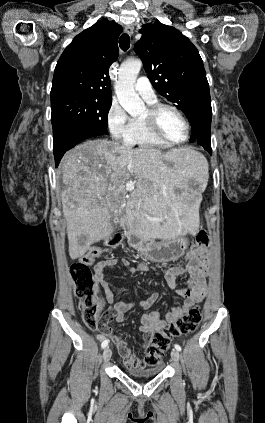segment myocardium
I'll list each match as a JSON object with an SVG mask.
<instances>
[{
	"label": "myocardium",
	"instance_id": "myocardium-1",
	"mask_svg": "<svg viewBox=\"0 0 265 423\" xmlns=\"http://www.w3.org/2000/svg\"><path fill=\"white\" fill-rule=\"evenodd\" d=\"M164 110H171L174 113H176L181 120L183 121L185 128H186V136L182 141L176 142V141H172L169 138H167L163 132L161 131L160 127H159V123H158V117L160 115V113ZM143 121L145 123V125L147 126L148 130L160 141L170 145V146H179V145H183L185 144L189 138H190V134H191V125L190 122L188 121L187 117L185 116V114L176 106L171 105V104H166V103H156L151 105L148 108V111L146 113V115L143 118Z\"/></svg>",
	"mask_w": 265,
	"mask_h": 423
}]
</instances>
